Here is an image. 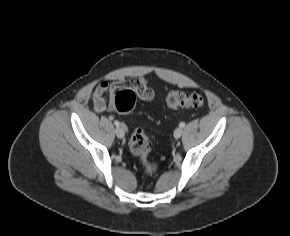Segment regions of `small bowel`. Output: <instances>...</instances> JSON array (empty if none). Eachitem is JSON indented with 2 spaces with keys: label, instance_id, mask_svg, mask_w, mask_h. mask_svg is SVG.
<instances>
[{
  "label": "small bowel",
  "instance_id": "small-bowel-1",
  "mask_svg": "<svg viewBox=\"0 0 290 236\" xmlns=\"http://www.w3.org/2000/svg\"><path fill=\"white\" fill-rule=\"evenodd\" d=\"M124 87L133 89L138 97L144 101H152L154 98L153 91L149 88L146 79L143 77L102 82L95 88L92 94L95 111L102 113L107 109L112 110L116 91Z\"/></svg>",
  "mask_w": 290,
  "mask_h": 236
}]
</instances>
